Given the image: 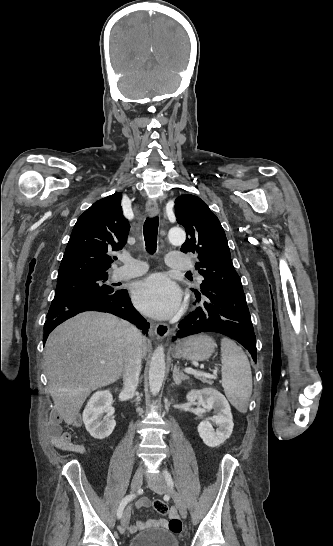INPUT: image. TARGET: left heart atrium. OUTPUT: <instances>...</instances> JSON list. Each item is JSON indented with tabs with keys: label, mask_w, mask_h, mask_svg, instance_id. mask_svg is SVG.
Returning a JSON list of instances; mask_svg holds the SVG:
<instances>
[{
	"label": "left heart atrium",
	"mask_w": 333,
	"mask_h": 546,
	"mask_svg": "<svg viewBox=\"0 0 333 546\" xmlns=\"http://www.w3.org/2000/svg\"><path fill=\"white\" fill-rule=\"evenodd\" d=\"M135 305L145 314L157 318L171 317L179 308L181 295L177 286L164 274H152L132 289Z\"/></svg>",
	"instance_id": "1"
}]
</instances>
